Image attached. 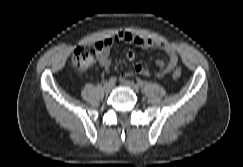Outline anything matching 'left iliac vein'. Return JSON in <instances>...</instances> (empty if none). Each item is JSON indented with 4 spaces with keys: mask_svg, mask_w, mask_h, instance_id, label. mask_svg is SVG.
Masks as SVG:
<instances>
[{
    "mask_svg": "<svg viewBox=\"0 0 243 167\" xmlns=\"http://www.w3.org/2000/svg\"><path fill=\"white\" fill-rule=\"evenodd\" d=\"M121 85L132 89L136 93L139 92V87L134 82H132V81L122 80L121 81Z\"/></svg>",
    "mask_w": 243,
    "mask_h": 167,
    "instance_id": "obj_1",
    "label": "left iliac vein"
}]
</instances>
